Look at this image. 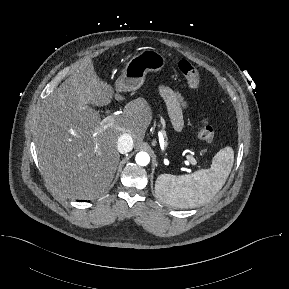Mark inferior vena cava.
<instances>
[{"label": "inferior vena cava", "mask_w": 289, "mask_h": 289, "mask_svg": "<svg viewBox=\"0 0 289 289\" xmlns=\"http://www.w3.org/2000/svg\"><path fill=\"white\" fill-rule=\"evenodd\" d=\"M133 148V138L130 134H122L117 141V149L121 154L128 153Z\"/></svg>", "instance_id": "inferior-vena-cava-1"}]
</instances>
